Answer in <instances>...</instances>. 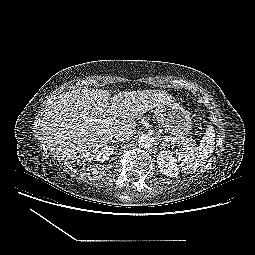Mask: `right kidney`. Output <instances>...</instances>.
Here are the masks:
<instances>
[{
	"label": "right kidney",
	"mask_w": 255,
	"mask_h": 255,
	"mask_svg": "<svg viewBox=\"0 0 255 255\" xmlns=\"http://www.w3.org/2000/svg\"><path fill=\"white\" fill-rule=\"evenodd\" d=\"M114 153V147L106 145L94 155V160L104 162Z\"/></svg>",
	"instance_id": "1"
}]
</instances>
